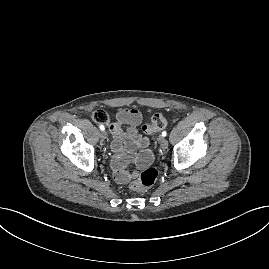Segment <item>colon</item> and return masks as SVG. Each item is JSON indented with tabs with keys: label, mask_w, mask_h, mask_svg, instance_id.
<instances>
[{
	"label": "colon",
	"mask_w": 269,
	"mask_h": 269,
	"mask_svg": "<svg viewBox=\"0 0 269 269\" xmlns=\"http://www.w3.org/2000/svg\"><path fill=\"white\" fill-rule=\"evenodd\" d=\"M93 120L97 123H108L109 117L108 114L99 109L96 110L93 115ZM168 125V118L160 113H157L152 116L151 120L143 126V131L152 135L156 132H159ZM158 177V172L155 168L149 167L144 169L139 175L138 179L134 181L131 187L135 190H144L150 188L154 185Z\"/></svg>",
	"instance_id": "5ec220e1"
}]
</instances>
